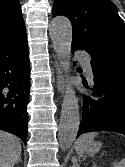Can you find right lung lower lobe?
I'll return each mask as SVG.
<instances>
[{"label":"right lung lower lobe","instance_id":"right-lung-lower-lobe-1","mask_svg":"<svg viewBox=\"0 0 125 167\" xmlns=\"http://www.w3.org/2000/svg\"><path fill=\"white\" fill-rule=\"evenodd\" d=\"M30 61L27 37L0 43V130L27 140Z\"/></svg>","mask_w":125,"mask_h":167}]
</instances>
